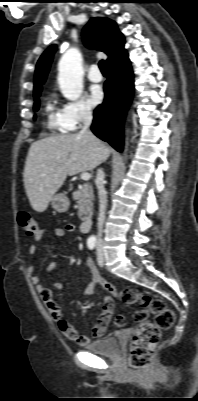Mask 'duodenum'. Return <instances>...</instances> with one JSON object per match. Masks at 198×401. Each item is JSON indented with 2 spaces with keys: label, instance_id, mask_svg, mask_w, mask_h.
Instances as JSON below:
<instances>
[{
  "label": "duodenum",
  "instance_id": "1",
  "mask_svg": "<svg viewBox=\"0 0 198 401\" xmlns=\"http://www.w3.org/2000/svg\"><path fill=\"white\" fill-rule=\"evenodd\" d=\"M93 223V217L88 216L86 219L81 223L80 230L82 233H87L89 232L91 225Z\"/></svg>",
  "mask_w": 198,
  "mask_h": 401
}]
</instances>
